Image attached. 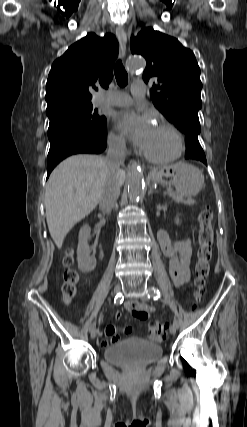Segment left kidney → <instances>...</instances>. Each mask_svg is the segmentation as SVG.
Masks as SVG:
<instances>
[{
    "instance_id": "5707ae66",
    "label": "left kidney",
    "mask_w": 247,
    "mask_h": 427,
    "mask_svg": "<svg viewBox=\"0 0 247 427\" xmlns=\"http://www.w3.org/2000/svg\"><path fill=\"white\" fill-rule=\"evenodd\" d=\"M175 222H176V224H179V223H180V221H179V217H177V218H176Z\"/></svg>"
}]
</instances>
